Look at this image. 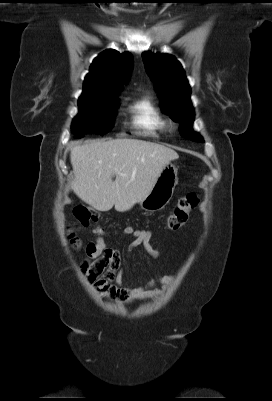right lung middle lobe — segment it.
<instances>
[{
    "mask_svg": "<svg viewBox=\"0 0 272 401\" xmlns=\"http://www.w3.org/2000/svg\"><path fill=\"white\" fill-rule=\"evenodd\" d=\"M118 92H108L81 98L79 113L74 118L72 130L75 134H104L111 130L116 115Z\"/></svg>",
    "mask_w": 272,
    "mask_h": 401,
    "instance_id": "dd1d6c3e",
    "label": "right lung middle lobe"
}]
</instances>
